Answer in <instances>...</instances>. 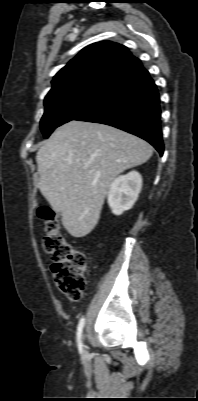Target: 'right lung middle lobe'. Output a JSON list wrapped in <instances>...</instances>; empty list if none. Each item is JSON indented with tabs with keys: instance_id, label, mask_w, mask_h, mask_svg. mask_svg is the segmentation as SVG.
Instances as JSON below:
<instances>
[{
	"instance_id": "dd1d6c3e",
	"label": "right lung middle lobe",
	"mask_w": 198,
	"mask_h": 401,
	"mask_svg": "<svg viewBox=\"0 0 198 401\" xmlns=\"http://www.w3.org/2000/svg\"><path fill=\"white\" fill-rule=\"evenodd\" d=\"M107 90L106 87L88 86L45 98V112L40 122L44 138H48L58 126L92 109Z\"/></svg>"
}]
</instances>
